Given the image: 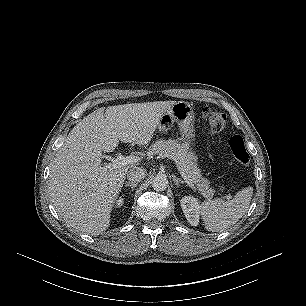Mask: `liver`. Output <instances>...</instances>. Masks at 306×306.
I'll return each mask as SVG.
<instances>
[{"instance_id":"obj_1","label":"liver","mask_w":306,"mask_h":306,"mask_svg":"<svg viewBox=\"0 0 306 306\" xmlns=\"http://www.w3.org/2000/svg\"><path fill=\"white\" fill-rule=\"evenodd\" d=\"M176 101L109 106L95 110L68 134L50 167L49 196L67 225L99 235L110 225L111 211L129 169L102 164V152L119 144L146 146L163 114Z\"/></svg>"}]
</instances>
